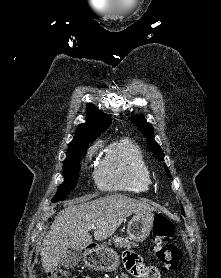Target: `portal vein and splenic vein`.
I'll use <instances>...</instances> for the list:
<instances>
[{
    "mask_svg": "<svg viewBox=\"0 0 221 278\" xmlns=\"http://www.w3.org/2000/svg\"><path fill=\"white\" fill-rule=\"evenodd\" d=\"M94 228H95V225H94V224H90V225H88V227H87L88 230H92V229H94Z\"/></svg>",
    "mask_w": 221,
    "mask_h": 278,
    "instance_id": "18ae733b",
    "label": "portal vein and splenic vein"
}]
</instances>
